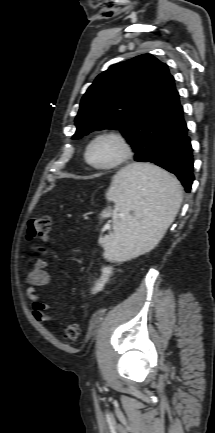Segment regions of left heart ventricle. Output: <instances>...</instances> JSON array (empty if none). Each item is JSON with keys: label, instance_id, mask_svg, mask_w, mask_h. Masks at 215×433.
<instances>
[{"label": "left heart ventricle", "instance_id": "b2bd125f", "mask_svg": "<svg viewBox=\"0 0 215 433\" xmlns=\"http://www.w3.org/2000/svg\"><path fill=\"white\" fill-rule=\"evenodd\" d=\"M120 145L112 138H104L97 141L90 150L89 159L95 164L111 163L120 155Z\"/></svg>", "mask_w": 215, "mask_h": 433}]
</instances>
